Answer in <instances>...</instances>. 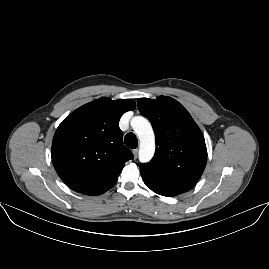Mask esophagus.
Instances as JSON below:
<instances>
[{
  "label": "esophagus",
  "instance_id": "esophagus-1",
  "mask_svg": "<svg viewBox=\"0 0 269 269\" xmlns=\"http://www.w3.org/2000/svg\"><path fill=\"white\" fill-rule=\"evenodd\" d=\"M133 155H134V159H137V156H138V150L137 149L133 150Z\"/></svg>",
  "mask_w": 269,
  "mask_h": 269
}]
</instances>
